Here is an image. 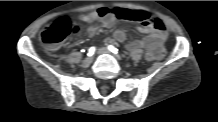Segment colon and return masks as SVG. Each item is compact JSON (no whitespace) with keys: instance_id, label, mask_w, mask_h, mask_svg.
I'll return each mask as SVG.
<instances>
[{"instance_id":"5ec220e1","label":"colon","mask_w":218,"mask_h":122,"mask_svg":"<svg viewBox=\"0 0 218 122\" xmlns=\"http://www.w3.org/2000/svg\"><path fill=\"white\" fill-rule=\"evenodd\" d=\"M113 12L120 19L136 21L155 28L164 27L159 19L145 11L117 8ZM78 30L79 27L73 24L69 18L62 17L51 22L42 30L41 41L47 48L56 49L69 34L76 33ZM167 54L166 48H158L157 53L154 54V61L163 62Z\"/></svg>"}]
</instances>
